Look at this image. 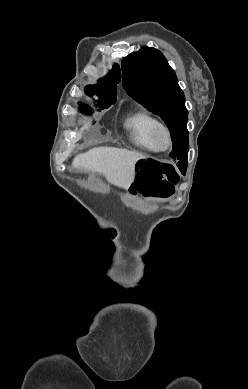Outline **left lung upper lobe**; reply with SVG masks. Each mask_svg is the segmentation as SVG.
<instances>
[{
    "label": "left lung upper lobe",
    "instance_id": "5c2ea615",
    "mask_svg": "<svg viewBox=\"0 0 248 389\" xmlns=\"http://www.w3.org/2000/svg\"><path fill=\"white\" fill-rule=\"evenodd\" d=\"M122 77L127 93L166 123L173 143L170 156L178 160L187 158L185 97L163 54L147 46L131 53L122 60Z\"/></svg>",
    "mask_w": 248,
    "mask_h": 389
}]
</instances>
